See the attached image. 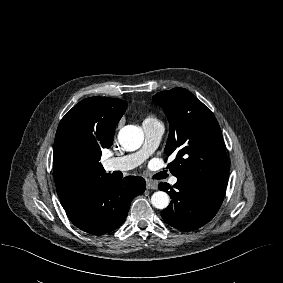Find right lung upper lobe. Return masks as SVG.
<instances>
[{
    "mask_svg": "<svg viewBox=\"0 0 283 283\" xmlns=\"http://www.w3.org/2000/svg\"><path fill=\"white\" fill-rule=\"evenodd\" d=\"M127 108L121 99L90 97L75 105L60 121L54 141L53 171L63 207L104 175L99 160L110 148L115 126Z\"/></svg>",
    "mask_w": 283,
    "mask_h": 283,
    "instance_id": "obj_1",
    "label": "right lung upper lobe"
}]
</instances>
